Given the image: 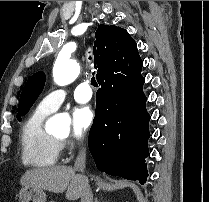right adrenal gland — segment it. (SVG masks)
Listing matches in <instances>:
<instances>
[{"label": "right adrenal gland", "instance_id": "1", "mask_svg": "<svg viewBox=\"0 0 209 202\" xmlns=\"http://www.w3.org/2000/svg\"><path fill=\"white\" fill-rule=\"evenodd\" d=\"M95 202H98L97 198L95 199Z\"/></svg>", "mask_w": 209, "mask_h": 202}]
</instances>
